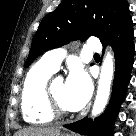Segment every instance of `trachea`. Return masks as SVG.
I'll return each mask as SVG.
<instances>
[{"mask_svg":"<svg viewBox=\"0 0 136 136\" xmlns=\"http://www.w3.org/2000/svg\"><path fill=\"white\" fill-rule=\"evenodd\" d=\"M95 56H99V54H94Z\"/></svg>","mask_w":136,"mask_h":136,"instance_id":"1","label":"trachea"}]
</instances>
